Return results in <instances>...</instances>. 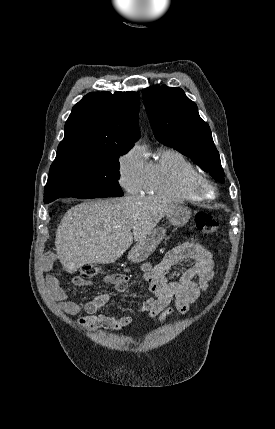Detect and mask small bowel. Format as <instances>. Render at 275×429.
<instances>
[{
	"instance_id": "1",
	"label": "small bowel",
	"mask_w": 275,
	"mask_h": 429,
	"mask_svg": "<svg viewBox=\"0 0 275 429\" xmlns=\"http://www.w3.org/2000/svg\"><path fill=\"white\" fill-rule=\"evenodd\" d=\"M183 260L191 261V265L181 272L177 280H169L168 272ZM140 268L153 296L146 298L136 312L146 313L149 317L161 322L175 311L181 314L187 313L201 293L208 290L214 277L212 254L204 243L196 239L174 247L158 264L153 266L150 263H143ZM104 280L113 284L120 292L125 291L129 283V277L122 273L107 275ZM72 281L76 286L90 284V281L81 276L73 277ZM49 292L57 307L64 313L77 315L83 312V316L77 319V323L84 328L121 330L133 321L131 316L118 317L110 313H98L109 301V293H101L85 304L69 301L65 290L56 278L50 280ZM172 300L175 301L174 307H170Z\"/></svg>"
}]
</instances>
